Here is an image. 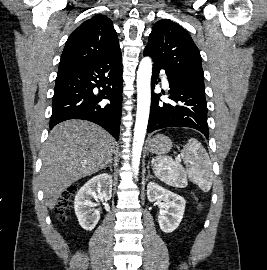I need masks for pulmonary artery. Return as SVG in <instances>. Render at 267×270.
I'll return each mask as SVG.
<instances>
[{
	"mask_svg": "<svg viewBox=\"0 0 267 270\" xmlns=\"http://www.w3.org/2000/svg\"><path fill=\"white\" fill-rule=\"evenodd\" d=\"M162 83H163L164 87H166V88L169 86L168 80L165 77H163Z\"/></svg>",
	"mask_w": 267,
	"mask_h": 270,
	"instance_id": "1",
	"label": "pulmonary artery"
}]
</instances>
